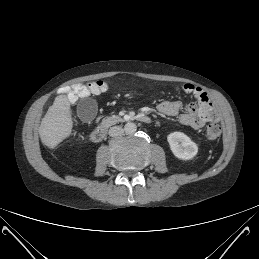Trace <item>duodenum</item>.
I'll return each instance as SVG.
<instances>
[{"label":"duodenum","mask_w":259,"mask_h":259,"mask_svg":"<svg viewBox=\"0 0 259 259\" xmlns=\"http://www.w3.org/2000/svg\"><path fill=\"white\" fill-rule=\"evenodd\" d=\"M138 120L142 123H145V124H149L151 122V118L147 115H140L138 117ZM106 133H107V126L106 125L98 126L91 133V139L94 142H100L105 138Z\"/></svg>","instance_id":"410a0bca"}]
</instances>
